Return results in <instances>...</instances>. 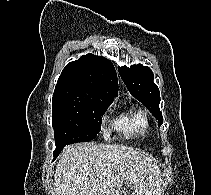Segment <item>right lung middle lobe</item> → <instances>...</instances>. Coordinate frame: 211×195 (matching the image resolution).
<instances>
[{
    "instance_id": "right-lung-middle-lobe-1",
    "label": "right lung middle lobe",
    "mask_w": 211,
    "mask_h": 195,
    "mask_svg": "<svg viewBox=\"0 0 211 195\" xmlns=\"http://www.w3.org/2000/svg\"><path fill=\"white\" fill-rule=\"evenodd\" d=\"M111 102L53 97L54 152L66 145L88 142L100 131L102 115Z\"/></svg>"
}]
</instances>
